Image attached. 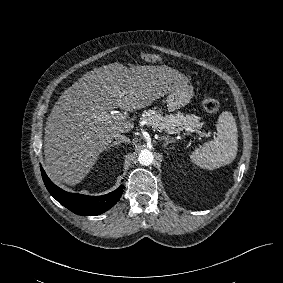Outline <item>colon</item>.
Masks as SVG:
<instances>
[{
	"label": "colon",
	"instance_id": "colon-1",
	"mask_svg": "<svg viewBox=\"0 0 283 283\" xmlns=\"http://www.w3.org/2000/svg\"><path fill=\"white\" fill-rule=\"evenodd\" d=\"M142 59L146 63H156L161 60V57L153 53H143ZM203 107L208 113H217L220 109V104L216 99L205 96L203 99Z\"/></svg>",
	"mask_w": 283,
	"mask_h": 283
}]
</instances>
